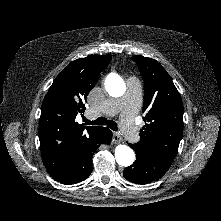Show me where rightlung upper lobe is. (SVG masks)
<instances>
[{"label":"right lung upper lobe","instance_id":"cb5924a9","mask_svg":"<svg viewBox=\"0 0 221 221\" xmlns=\"http://www.w3.org/2000/svg\"><path fill=\"white\" fill-rule=\"evenodd\" d=\"M111 55H91L71 62L54 80L41 107L39 139L44 166L57 181L71 171L78 150L100 127L75 121Z\"/></svg>","mask_w":221,"mask_h":221}]
</instances>
